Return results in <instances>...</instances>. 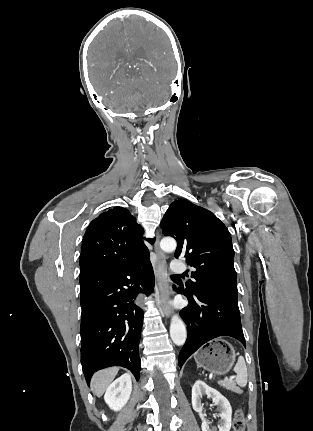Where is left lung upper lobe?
<instances>
[{
  "mask_svg": "<svg viewBox=\"0 0 313 431\" xmlns=\"http://www.w3.org/2000/svg\"><path fill=\"white\" fill-rule=\"evenodd\" d=\"M160 227L177 240L175 257L196 268L184 290L189 296L215 294L237 299L234 250L226 226L209 210L186 199L174 201Z\"/></svg>",
  "mask_w": 313,
  "mask_h": 431,
  "instance_id": "obj_1",
  "label": "left lung upper lobe"
}]
</instances>
